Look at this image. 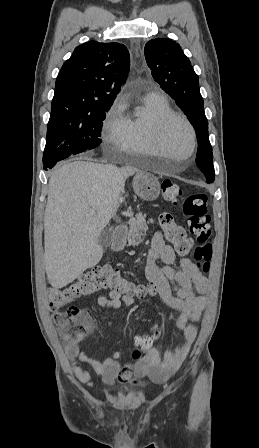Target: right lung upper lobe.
I'll use <instances>...</instances> for the list:
<instances>
[{"instance_id": "1", "label": "right lung upper lobe", "mask_w": 259, "mask_h": 448, "mask_svg": "<svg viewBox=\"0 0 259 448\" xmlns=\"http://www.w3.org/2000/svg\"><path fill=\"white\" fill-rule=\"evenodd\" d=\"M123 44L89 41L75 48L55 83L51 113L110 107L129 72Z\"/></svg>"}]
</instances>
